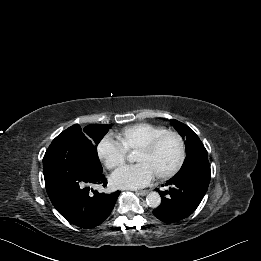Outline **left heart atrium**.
I'll list each match as a JSON object with an SVG mask.
<instances>
[{
	"mask_svg": "<svg viewBox=\"0 0 261 261\" xmlns=\"http://www.w3.org/2000/svg\"><path fill=\"white\" fill-rule=\"evenodd\" d=\"M156 176L146 164L137 163L115 171L110 177V183L119 189H137L151 184Z\"/></svg>",
	"mask_w": 261,
	"mask_h": 261,
	"instance_id": "39dd6f15",
	"label": "left heart atrium"
}]
</instances>
